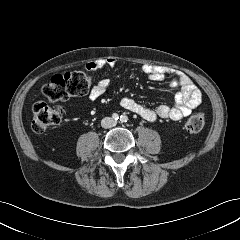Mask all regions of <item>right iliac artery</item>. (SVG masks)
I'll list each match as a JSON object with an SVG mask.
<instances>
[{"label":"right iliac artery","instance_id":"1","mask_svg":"<svg viewBox=\"0 0 240 240\" xmlns=\"http://www.w3.org/2000/svg\"><path fill=\"white\" fill-rule=\"evenodd\" d=\"M112 117H113L114 120H118L119 119V115L117 113H114L112 115Z\"/></svg>","mask_w":240,"mask_h":240}]
</instances>
